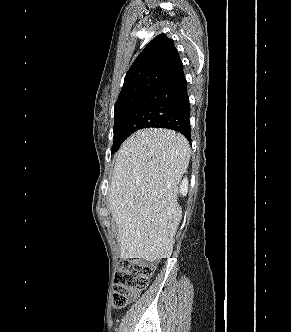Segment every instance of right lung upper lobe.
I'll use <instances>...</instances> for the list:
<instances>
[{"instance_id": "cb5924a9", "label": "right lung upper lobe", "mask_w": 291, "mask_h": 332, "mask_svg": "<svg viewBox=\"0 0 291 332\" xmlns=\"http://www.w3.org/2000/svg\"><path fill=\"white\" fill-rule=\"evenodd\" d=\"M183 72V64L173 40L160 34L151 40L128 70L118 100L151 92L169 78Z\"/></svg>"}]
</instances>
